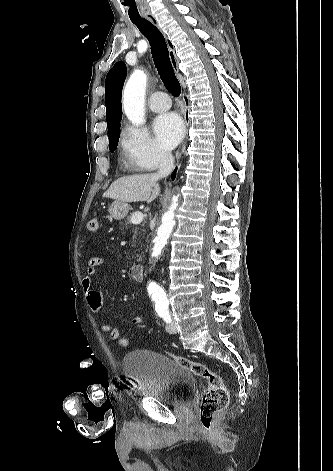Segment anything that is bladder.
Here are the masks:
<instances>
[{
    "instance_id": "bladder-1",
    "label": "bladder",
    "mask_w": 333,
    "mask_h": 471,
    "mask_svg": "<svg viewBox=\"0 0 333 471\" xmlns=\"http://www.w3.org/2000/svg\"><path fill=\"white\" fill-rule=\"evenodd\" d=\"M122 371L135 382V393L166 405L183 404L197 386L190 371L169 356L153 350H134L126 354Z\"/></svg>"
}]
</instances>
